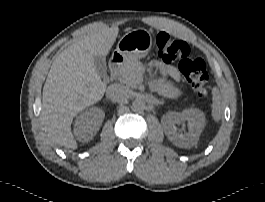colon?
Wrapping results in <instances>:
<instances>
[{
    "label": "colon",
    "instance_id": "5ec220e1",
    "mask_svg": "<svg viewBox=\"0 0 265 202\" xmlns=\"http://www.w3.org/2000/svg\"><path fill=\"white\" fill-rule=\"evenodd\" d=\"M156 51L162 62L180 61V72L192 89L200 96L207 94L209 75L204 61L190 57L187 42L179 40L166 32H160L156 37Z\"/></svg>",
    "mask_w": 265,
    "mask_h": 202
}]
</instances>
